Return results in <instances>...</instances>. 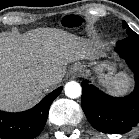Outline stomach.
Here are the masks:
<instances>
[{
    "label": "stomach",
    "mask_w": 139,
    "mask_h": 139,
    "mask_svg": "<svg viewBox=\"0 0 139 139\" xmlns=\"http://www.w3.org/2000/svg\"><path fill=\"white\" fill-rule=\"evenodd\" d=\"M95 71L103 84H107L114 72L113 66L108 63L96 64Z\"/></svg>",
    "instance_id": "stomach-1"
}]
</instances>
